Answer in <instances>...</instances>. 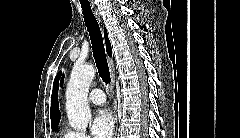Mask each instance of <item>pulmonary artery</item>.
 Wrapping results in <instances>:
<instances>
[{
  "mask_svg": "<svg viewBox=\"0 0 240 138\" xmlns=\"http://www.w3.org/2000/svg\"><path fill=\"white\" fill-rule=\"evenodd\" d=\"M89 99L98 106L104 105L106 102L105 95L101 89H93L89 94Z\"/></svg>",
  "mask_w": 240,
  "mask_h": 138,
  "instance_id": "obj_1",
  "label": "pulmonary artery"
}]
</instances>
